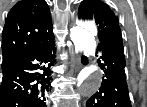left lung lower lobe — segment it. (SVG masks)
<instances>
[{
  "instance_id": "obj_1",
  "label": "left lung lower lobe",
  "mask_w": 147,
  "mask_h": 107,
  "mask_svg": "<svg viewBox=\"0 0 147 107\" xmlns=\"http://www.w3.org/2000/svg\"><path fill=\"white\" fill-rule=\"evenodd\" d=\"M99 66L104 71L102 84L86 102V107H132L125 79V55L122 38H114L98 45ZM82 63L87 59L82 57Z\"/></svg>"
}]
</instances>
